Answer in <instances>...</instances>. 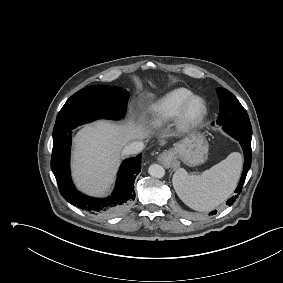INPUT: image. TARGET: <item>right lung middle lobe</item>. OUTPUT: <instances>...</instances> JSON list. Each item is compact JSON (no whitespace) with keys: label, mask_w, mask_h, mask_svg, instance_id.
Listing matches in <instances>:
<instances>
[{"label":"right lung middle lobe","mask_w":283,"mask_h":283,"mask_svg":"<svg viewBox=\"0 0 283 283\" xmlns=\"http://www.w3.org/2000/svg\"><path fill=\"white\" fill-rule=\"evenodd\" d=\"M129 93L118 87L89 86L72 95L57 115L53 141L79 125L96 119H119L126 112Z\"/></svg>","instance_id":"dd1d6c3e"}]
</instances>
